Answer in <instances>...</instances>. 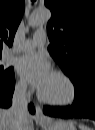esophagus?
Listing matches in <instances>:
<instances>
[{
    "label": "esophagus",
    "instance_id": "34e87169",
    "mask_svg": "<svg viewBox=\"0 0 95 130\" xmlns=\"http://www.w3.org/2000/svg\"><path fill=\"white\" fill-rule=\"evenodd\" d=\"M35 119L38 121H43L47 119L46 116L43 114L42 108L40 106L36 107Z\"/></svg>",
    "mask_w": 95,
    "mask_h": 130
}]
</instances>
